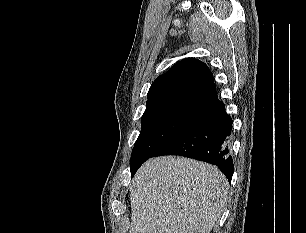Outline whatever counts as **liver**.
<instances>
[{
	"label": "liver",
	"instance_id": "liver-1",
	"mask_svg": "<svg viewBox=\"0 0 306 233\" xmlns=\"http://www.w3.org/2000/svg\"><path fill=\"white\" fill-rule=\"evenodd\" d=\"M228 190L226 177L210 164L172 156L149 159L130 188L129 233H210Z\"/></svg>",
	"mask_w": 306,
	"mask_h": 233
}]
</instances>
